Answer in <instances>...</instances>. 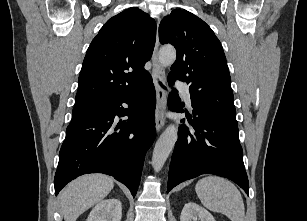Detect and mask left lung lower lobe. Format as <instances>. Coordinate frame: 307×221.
I'll use <instances>...</instances> for the list:
<instances>
[{"label":"left lung lower lobe","instance_id":"left-lung-lower-lobe-1","mask_svg":"<svg viewBox=\"0 0 307 221\" xmlns=\"http://www.w3.org/2000/svg\"><path fill=\"white\" fill-rule=\"evenodd\" d=\"M171 85L173 79L168 78ZM171 111L183 112L177 91L169 95ZM194 119L179 127V138L175 144L169 168L167 193L179 183L201 174L226 177L237 183L249 194V182L243 163V151L239 143L238 125L193 103Z\"/></svg>","mask_w":307,"mask_h":221}]
</instances>
